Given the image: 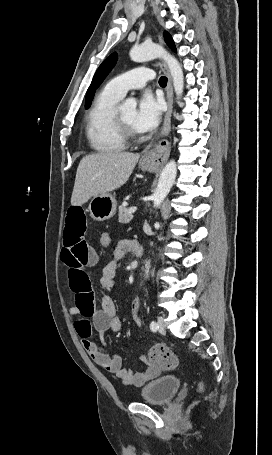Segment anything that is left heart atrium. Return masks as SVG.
Listing matches in <instances>:
<instances>
[{
    "label": "left heart atrium",
    "mask_w": 272,
    "mask_h": 455,
    "mask_svg": "<svg viewBox=\"0 0 272 455\" xmlns=\"http://www.w3.org/2000/svg\"><path fill=\"white\" fill-rule=\"evenodd\" d=\"M163 102L151 93H145L139 100L134 119V129L144 133L155 129L161 119Z\"/></svg>",
    "instance_id": "1"
}]
</instances>
